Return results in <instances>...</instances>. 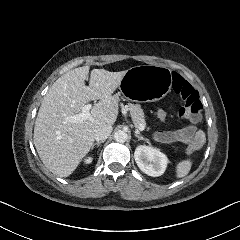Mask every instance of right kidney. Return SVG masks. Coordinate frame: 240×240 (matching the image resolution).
<instances>
[{"label": "right kidney", "instance_id": "obj_1", "mask_svg": "<svg viewBox=\"0 0 240 240\" xmlns=\"http://www.w3.org/2000/svg\"><path fill=\"white\" fill-rule=\"evenodd\" d=\"M93 158L92 157H88L87 159H85V164H90L92 162Z\"/></svg>", "mask_w": 240, "mask_h": 240}]
</instances>
